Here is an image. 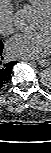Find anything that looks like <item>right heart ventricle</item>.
<instances>
[{
  "label": "right heart ventricle",
  "mask_w": 51,
  "mask_h": 153,
  "mask_svg": "<svg viewBox=\"0 0 51 153\" xmlns=\"http://www.w3.org/2000/svg\"><path fill=\"white\" fill-rule=\"evenodd\" d=\"M36 10L43 11L51 6V0H27Z\"/></svg>",
  "instance_id": "obj_1"
}]
</instances>
